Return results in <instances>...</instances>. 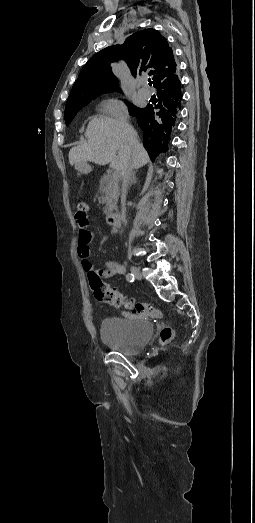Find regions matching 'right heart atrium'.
I'll list each match as a JSON object with an SVG mask.
<instances>
[{
	"mask_svg": "<svg viewBox=\"0 0 255 523\" xmlns=\"http://www.w3.org/2000/svg\"><path fill=\"white\" fill-rule=\"evenodd\" d=\"M101 109L104 114L116 122H123L128 119V109L125 103L116 98H109L101 103Z\"/></svg>",
	"mask_w": 255,
	"mask_h": 523,
	"instance_id": "right-heart-atrium-1",
	"label": "right heart atrium"
}]
</instances>
